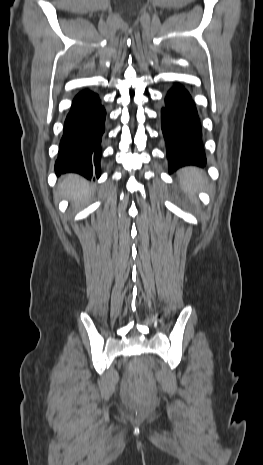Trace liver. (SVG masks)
<instances>
[{
    "instance_id": "6515ba94",
    "label": "liver",
    "mask_w": 263,
    "mask_h": 465,
    "mask_svg": "<svg viewBox=\"0 0 263 465\" xmlns=\"http://www.w3.org/2000/svg\"><path fill=\"white\" fill-rule=\"evenodd\" d=\"M59 192L77 206L91 196L92 189L84 178L79 175L68 174L60 182Z\"/></svg>"
}]
</instances>
